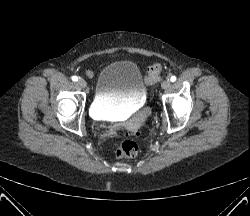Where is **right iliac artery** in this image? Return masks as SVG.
I'll return each mask as SVG.
<instances>
[{
  "mask_svg": "<svg viewBox=\"0 0 250 216\" xmlns=\"http://www.w3.org/2000/svg\"><path fill=\"white\" fill-rule=\"evenodd\" d=\"M72 80L76 82V81H78V77L77 76H72Z\"/></svg>",
  "mask_w": 250,
  "mask_h": 216,
  "instance_id": "82829eb1",
  "label": "right iliac artery"
}]
</instances>
